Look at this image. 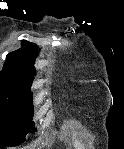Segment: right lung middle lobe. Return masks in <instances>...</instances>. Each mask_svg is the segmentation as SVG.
Instances as JSON below:
<instances>
[{
  "label": "right lung middle lobe",
  "mask_w": 124,
  "mask_h": 149,
  "mask_svg": "<svg viewBox=\"0 0 124 149\" xmlns=\"http://www.w3.org/2000/svg\"><path fill=\"white\" fill-rule=\"evenodd\" d=\"M32 92L0 81V145L18 146L34 132Z\"/></svg>",
  "instance_id": "obj_1"
}]
</instances>
